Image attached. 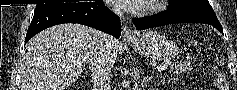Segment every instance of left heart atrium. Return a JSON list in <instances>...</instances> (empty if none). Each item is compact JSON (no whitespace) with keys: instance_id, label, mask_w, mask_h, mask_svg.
Returning a JSON list of instances; mask_svg holds the SVG:
<instances>
[{"instance_id":"obj_1","label":"left heart atrium","mask_w":237,"mask_h":90,"mask_svg":"<svg viewBox=\"0 0 237 90\" xmlns=\"http://www.w3.org/2000/svg\"><path fill=\"white\" fill-rule=\"evenodd\" d=\"M143 3H152V0H112V6L122 7V10H138Z\"/></svg>"}]
</instances>
